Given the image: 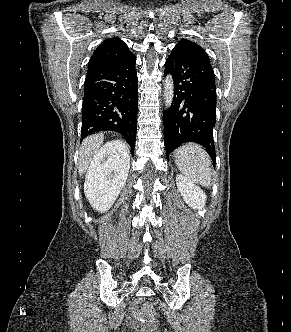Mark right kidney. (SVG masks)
Here are the masks:
<instances>
[{"label": "right kidney", "instance_id": "obj_1", "mask_svg": "<svg viewBox=\"0 0 291 332\" xmlns=\"http://www.w3.org/2000/svg\"><path fill=\"white\" fill-rule=\"evenodd\" d=\"M130 159L120 141L105 144L95 154L86 174L84 192L99 211H107L126 184Z\"/></svg>", "mask_w": 291, "mask_h": 332}]
</instances>
